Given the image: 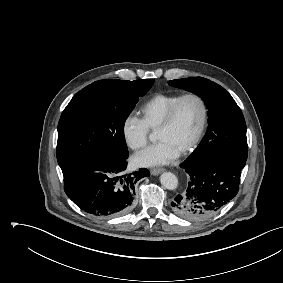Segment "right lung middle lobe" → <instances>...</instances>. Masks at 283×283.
<instances>
[{"label":"right lung middle lobe","instance_id":"dd1d6c3e","mask_svg":"<svg viewBox=\"0 0 283 283\" xmlns=\"http://www.w3.org/2000/svg\"><path fill=\"white\" fill-rule=\"evenodd\" d=\"M153 83V79L100 80L76 93L58 124L59 166L92 154L127 156L125 120Z\"/></svg>","mask_w":283,"mask_h":283}]
</instances>
